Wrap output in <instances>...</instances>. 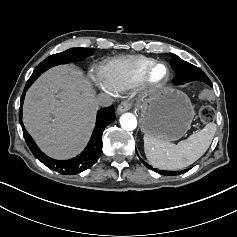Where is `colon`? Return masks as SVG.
<instances>
[{
    "label": "colon",
    "instance_id": "obj_1",
    "mask_svg": "<svg viewBox=\"0 0 237 237\" xmlns=\"http://www.w3.org/2000/svg\"><path fill=\"white\" fill-rule=\"evenodd\" d=\"M200 98L203 100L211 101L213 99V94L210 90H204L200 93ZM200 120L203 123H210L215 118V110L210 105L203 106L199 111Z\"/></svg>",
    "mask_w": 237,
    "mask_h": 237
}]
</instances>
